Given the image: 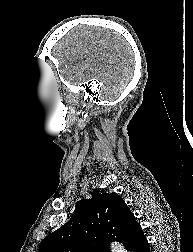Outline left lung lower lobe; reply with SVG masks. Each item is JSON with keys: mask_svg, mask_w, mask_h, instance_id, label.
<instances>
[{"mask_svg": "<svg viewBox=\"0 0 193 252\" xmlns=\"http://www.w3.org/2000/svg\"><path fill=\"white\" fill-rule=\"evenodd\" d=\"M127 249L130 252H150L148 242L140 225L133 230Z\"/></svg>", "mask_w": 193, "mask_h": 252, "instance_id": "obj_1", "label": "left lung lower lobe"}]
</instances>
